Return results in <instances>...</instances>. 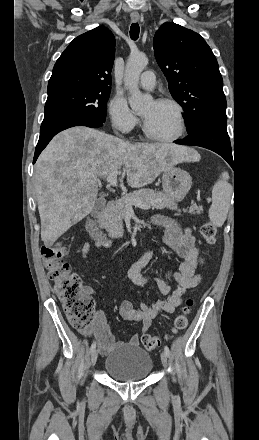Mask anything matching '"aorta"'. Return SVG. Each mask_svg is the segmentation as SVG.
I'll use <instances>...</instances> for the list:
<instances>
[{"instance_id": "aorta-1", "label": "aorta", "mask_w": 259, "mask_h": 440, "mask_svg": "<svg viewBox=\"0 0 259 440\" xmlns=\"http://www.w3.org/2000/svg\"><path fill=\"white\" fill-rule=\"evenodd\" d=\"M148 65V58L145 54H131L128 58L124 83L129 93V104L133 111H141L153 100L150 94H143L138 87L140 74Z\"/></svg>"}]
</instances>
